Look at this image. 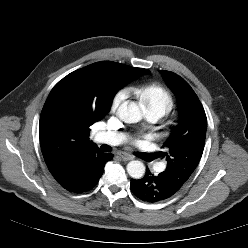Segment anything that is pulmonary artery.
Wrapping results in <instances>:
<instances>
[{
    "mask_svg": "<svg viewBox=\"0 0 248 248\" xmlns=\"http://www.w3.org/2000/svg\"><path fill=\"white\" fill-rule=\"evenodd\" d=\"M147 117L150 122H156L161 116L155 113H147ZM124 140V134L117 132H98L95 135L96 142L109 145H118L121 144ZM164 168L165 166H161V169Z\"/></svg>",
    "mask_w": 248,
    "mask_h": 248,
    "instance_id": "pulmonary-artery-1",
    "label": "pulmonary artery"
}]
</instances>
